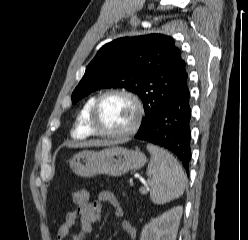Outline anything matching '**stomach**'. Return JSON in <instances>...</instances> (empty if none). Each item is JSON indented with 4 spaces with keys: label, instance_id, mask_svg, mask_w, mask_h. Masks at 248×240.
<instances>
[{
    "label": "stomach",
    "instance_id": "0dacf381",
    "mask_svg": "<svg viewBox=\"0 0 248 240\" xmlns=\"http://www.w3.org/2000/svg\"><path fill=\"white\" fill-rule=\"evenodd\" d=\"M146 161V156L139 150L111 146L101 151H81L70 159L69 165L75 174L83 177L121 176L142 168Z\"/></svg>",
    "mask_w": 248,
    "mask_h": 240
}]
</instances>
